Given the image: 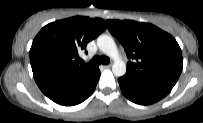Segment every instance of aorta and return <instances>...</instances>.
Segmentation results:
<instances>
[{"instance_id":"obj_1","label":"aorta","mask_w":203,"mask_h":123,"mask_svg":"<svg viewBox=\"0 0 203 123\" xmlns=\"http://www.w3.org/2000/svg\"><path fill=\"white\" fill-rule=\"evenodd\" d=\"M99 49L108 57L114 60L112 71L115 76L120 77L126 73V64L120 58L115 41L109 35L102 34L97 38Z\"/></svg>"}]
</instances>
